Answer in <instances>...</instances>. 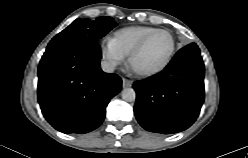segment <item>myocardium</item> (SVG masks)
Wrapping results in <instances>:
<instances>
[{
	"label": "myocardium",
	"mask_w": 248,
	"mask_h": 158,
	"mask_svg": "<svg viewBox=\"0 0 248 158\" xmlns=\"http://www.w3.org/2000/svg\"><path fill=\"white\" fill-rule=\"evenodd\" d=\"M156 33H164V34L169 36V38L171 40V47H170L169 53H168L167 57L165 58V60L159 66H157L155 68L148 69V70L133 69L134 72L140 76H153V75L160 73L169 65V63L171 62V60L174 56V53L176 50V40H175V37L173 36V34L169 31L165 30V29H155V30L147 33L139 41V43L134 47V49L131 51V53L129 54V58H128L130 66L132 67V63H133L134 58L142 51V49L146 45L147 41Z\"/></svg>",
	"instance_id": "1"
}]
</instances>
